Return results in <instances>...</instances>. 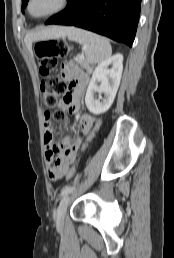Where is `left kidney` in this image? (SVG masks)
<instances>
[{
    "label": "left kidney",
    "instance_id": "1",
    "mask_svg": "<svg viewBox=\"0 0 174 258\" xmlns=\"http://www.w3.org/2000/svg\"><path fill=\"white\" fill-rule=\"evenodd\" d=\"M122 71L123 56L121 54L105 59L95 68L85 96V104L91 113L102 114L111 107L120 84ZM97 82H100V86ZM95 93H104L105 98L100 101L94 97Z\"/></svg>",
    "mask_w": 174,
    "mask_h": 258
}]
</instances>
